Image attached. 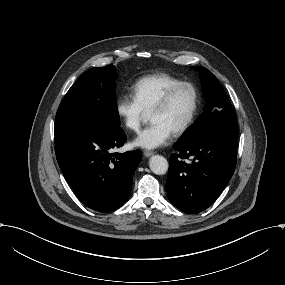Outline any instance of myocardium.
Listing matches in <instances>:
<instances>
[{"instance_id": "myocardium-1", "label": "myocardium", "mask_w": 285, "mask_h": 285, "mask_svg": "<svg viewBox=\"0 0 285 285\" xmlns=\"http://www.w3.org/2000/svg\"><path fill=\"white\" fill-rule=\"evenodd\" d=\"M182 86H188L191 88L192 92H193V104L191 107V110L188 114V116L183 120L182 123H180L179 125H177L172 131L174 133H181L183 131H185L190 124L193 122L199 105H200V92L198 87L191 81H179L178 83L172 85L171 87H169L165 93L161 96V98L157 101V103L153 106V108L151 109V112L155 111V110H159V109H163L165 107H167L174 95V93L176 92V90Z\"/></svg>"}]
</instances>
